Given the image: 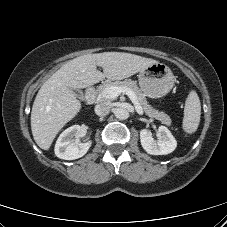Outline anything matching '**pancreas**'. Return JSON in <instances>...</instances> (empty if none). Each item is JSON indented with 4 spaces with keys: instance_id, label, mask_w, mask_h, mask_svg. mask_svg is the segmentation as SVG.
Segmentation results:
<instances>
[{
    "instance_id": "pancreas-1",
    "label": "pancreas",
    "mask_w": 227,
    "mask_h": 227,
    "mask_svg": "<svg viewBox=\"0 0 227 227\" xmlns=\"http://www.w3.org/2000/svg\"><path fill=\"white\" fill-rule=\"evenodd\" d=\"M110 86H116V87H128L130 88L136 95L137 101L139 102L140 106L142 107L144 113L148 115L151 118H155L159 121H161L163 124H166L168 126L171 125L172 121L171 118L165 114L164 112H159L158 110L152 108L144 95V93L141 91V89L136 85L135 81H132L130 79H126L124 81H106L103 85L99 86L97 89L98 95L101 97V99H104L102 97L103 91Z\"/></svg>"
}]
</instances>
